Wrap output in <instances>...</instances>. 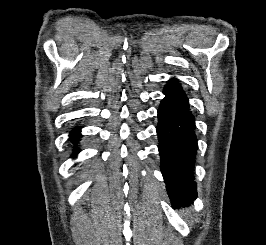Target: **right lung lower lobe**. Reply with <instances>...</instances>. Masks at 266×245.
Here are the masks:
<instances>
[{
  "label": "right lung lower lobe",
  "instance_id": "right-lung-lower-lobe-1",
  "mask_svg": "<svg viewBox=\"0 0 266 245\" xmlns=\"http://www.w3.org/2000/svg\"><path fill=\"white\" fill-rule=\"evenodd\" d=\"M79 130H80L79 127H74V128L72 129V131L70 132V140H71L72 143L75 144V145L77 144L78 139L81 137V135H80V131H79ZM77 153H78V150L75 149L73 156H75Z\"/></svg>",
  "mask_w": 266,
  "mask_h": 245
}]
</instances>
